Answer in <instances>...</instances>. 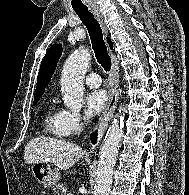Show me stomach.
<instances>
[{
	"label": "stomach",
	"mask_w": 189,
	"mask_h": 195,
	"mask_svg": "<svg viewBox=\"0 0 189 195\" xmlns=\"http://www.w3.org/2000/svg\"><path fill=\"white\" fill-rule=\"evenodd\" d=\"M32 173L36 180L44 187H53L60 178L59 169L49 162H38L31 167Z\"/></svg>",
	"instance_id": "1"
}]
</instances>
